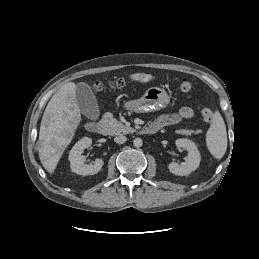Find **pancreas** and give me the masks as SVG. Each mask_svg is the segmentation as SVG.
<instances>
[{"instance_id":"cf45deb5","label":"pancreas","mask_w":259,"mask_h":259,"mask_svg":"<svg viewBox=\"0 0 259 259\" xmlns=\"http://www.w3.org/2000/svg\"><path fill=\"white\" fill-rule=\"evenodd\" d=\"M102 124L106 127L109 135L128 134L134 131L131 127H127L120 121L113 118L111 113L105 114Z\"/></svg>"}]
</instances>
